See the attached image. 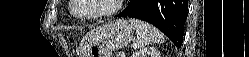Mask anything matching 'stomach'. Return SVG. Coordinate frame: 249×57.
I'll return each mask as SVG.
<instances>
[{
  "label": "stomach",
  "mask_w": 249,
  "mask_h": 57,
  "mask_svg": "<svg viewBox=\"0 0 249 57\" xmlns=\"http://www.w3.org/2000/svg\"><path fill=\"white\" fill-rule=\"evenodd\" d=\"M134 35L126 19L110 21L89 32L82 41V57H112V51L128 45Z\"/></svg>",
  "instance_id": "obj_1"
}]
</instances>
